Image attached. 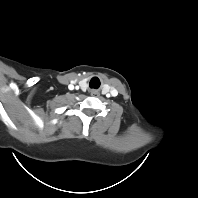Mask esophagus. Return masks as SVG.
Wrapping results in <instances>:
<instances>
[{
  "instance_id": "1",
  "label": "esophagus",
  "mask_w": 198,
  "mask_h": 198,
  "mask_svg": "<svg viewBox=\"0 0 198 198\" xmlns=\"http://www.w3.org/2000/svg\"><path fill=\"white\" fill-rule=\"evenodd\" d=\"M98 94H99L98 91H96V90H91V95L95 96V95H98Z\"/></svg>"
}]
</instances>
